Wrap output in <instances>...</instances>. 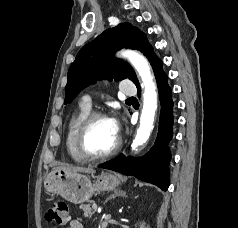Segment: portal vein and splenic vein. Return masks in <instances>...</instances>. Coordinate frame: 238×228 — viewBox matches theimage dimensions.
I'll use <instances>...</instances> for the list:
<instances>
[{
	"label": "portal vein and splenic vein",
	"instance_id": "portal-vein-and-splenic-vein-1",
	"mask_svg": "<svg viewBox=\"0 0 238 228\" xmlns=\"http://www.w3.org/2000/svg\"><path fill=\"white\" fill-rule=\"evenodd\" d=\"M92 208L94 209V210H97V205L94 203L93 205H92Z\"/></svg>",
	"mask_w": 238,
	"mask_h": 228
}]
</instances>
